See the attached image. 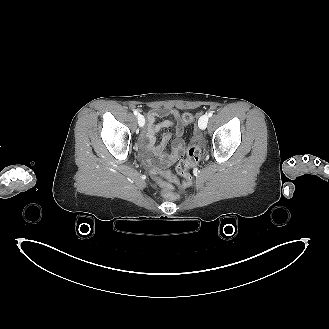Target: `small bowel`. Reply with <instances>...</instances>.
Here are the masks:
<instances>
[{
    "label": "small bowel",
    "mask_w": 329,
    "mask_h": 329,
    "mask_svg": "<svg viewBox=\"0 0 329 329\" xmlns=\"http://www.w3.org/2000/svg\"><path fill=\"white\" fill-rule=\"evenodd\" d=\"M159 118L163 121L157 122ZM180 113L176 109L167 110L165 108L151 109L147 115V124L142 132L140 144L144 150L145 159L152 164L168 166L182 157L184 153L183 125L179 121ZM175 126V136L170 152L166 151V146L171 139V135L166 133L161 141L157 143L156 133L163 128Z\"/></svg>",
    "instance_id": "obj_1"
}]
</instances>
